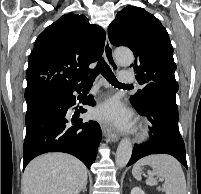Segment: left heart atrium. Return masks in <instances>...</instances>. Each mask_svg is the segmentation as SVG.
<instances>
[{"instance_id": "1", "label": "left heart atrium", "mask_w": 201, "mask_h": 194, "mask_svg": "<svg viewBox=\"0 0 201 194\" xmlns=\"http://www.w3.org/2000/svg\"><path fill=\"white\" fill-rule=\"evenodd\" d=\"M95 116L120 130H127L132 126L130 114L116 100H110L98 107Z\"/></svg>"}]
</instances>
